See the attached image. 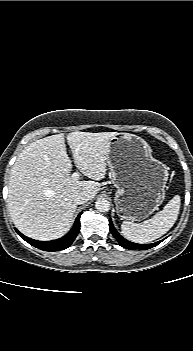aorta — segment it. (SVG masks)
Segmentation results:
<instances>
[{"label": "aorta", "mask_w": 193, "mask_h": 351, "mask_svg": "<svg viewBox=\"0 0 193 351\" xmlns=\"http://www.w3.org/2000/svg\"><path fill=\"white\" fill-rule=\"evenodd\" d=\"M95 208L99 212H108L110 210V204L109 201L105 198H99L95 202Z\"/></svg>", "instance_id": "1"}]
</instances>
